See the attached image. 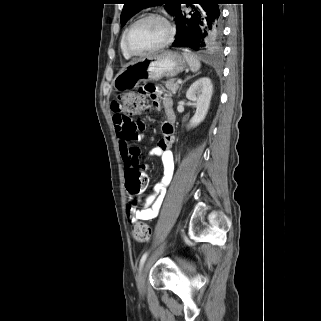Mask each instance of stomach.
<instances>
[{
  "mask_svg": "<svg viewBox=\"0 0 321 321\" xmlns=\"http://www.w3.org/2000/svg\"><path fill=\"white\" fill-rule=\"evenodd\" d=\"M187 67L185 58L175 51H164L144 57L122 68L113 85L117 91L134 89L142 81H157L163 77L172 78Z\"/></svg>",
  "mask_w": 321,
  "mask_h": 321,
  "instance_id": "stomach-1",
  "label": "stomach"
}]
</instances>
